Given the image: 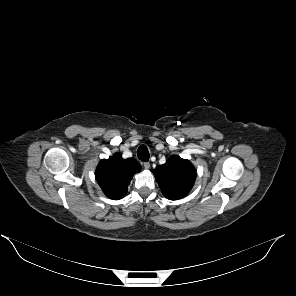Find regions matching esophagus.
Instances as JSON below:
<instances>
[{
	"mask_svg": "<svg viewBox=\"0 0 296 296\" xmlns=\"http://www.w3.org/2000/svg\"><path fill=\"white\" fill-rule=\"evenodd\" d=\"M144 168H145L146 170H148V169L150 168V163H149V162H145V163H144Z\"/></svg>",
	"mask_w": 296,
	"mask_h": 296,
	"instance_id": "esophagus-1",
	"label": "esophagus"
}]
</instances>
